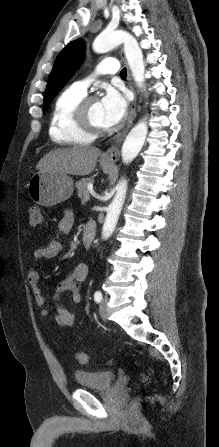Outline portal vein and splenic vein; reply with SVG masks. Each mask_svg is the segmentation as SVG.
Instances as JSON below:
<instances>
[{
    "label": "portal vein and splenic vein",
    "mask_w": 219,
    "mask_h": 447,
    "mask_svg": "<svg viewBox=\"0 0 219 447\" xmlns=\"http://www.w3.org/2000/svg\"><path fill=\"white\" fill-rule=\"evenodd\" d=\"M90 199V195L89 194H86L85 196H84V201H88Z\"/></svg>",
    "instance_id": "portal-vein-and-splenic-vein-1"
}]
</instances>
